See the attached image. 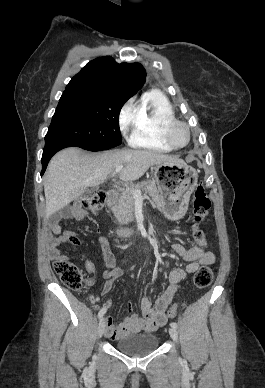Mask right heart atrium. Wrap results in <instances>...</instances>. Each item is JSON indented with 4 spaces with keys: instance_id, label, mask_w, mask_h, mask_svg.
Returning <instances> with one entry per match:
<instances>
[{
    "instance_id": "d8ad5b80",
    "label": "right heart atrium",
    "mask_w": 265,
    "mask_h": 388,
    "mask_svg": "<svg viewBox=\"0 0 265 388\" xmlns=\"http://www.w3.org/2000/svg\"><path fill=\"white\" fill-rule=\"evenodd\" d=\"M137 114V106L133 100L127 102L121 113V126L124 132L127 131L128 126L135 120Z\"/></svg>"
}]
</instances>
